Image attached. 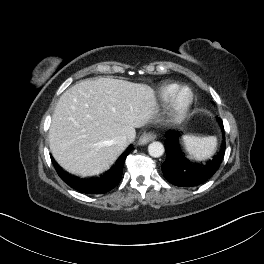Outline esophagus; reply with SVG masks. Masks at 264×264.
Returning <instances> with one entry per match:
<instances>
[{"instance_id":"esophagus-1","label":"esophagus","mask_w":264,"mask_h":264,"mask_svg":"<svg viewBox=\"0 0 264 264\" xmlns=\"http://www.w3.org/2000/svg\"><path fill=\"white\" fill-rule=\"evenodd\" d=\"M155 138H156V134H154L152 132L143 133L138 140V144L139 145H145V144L151 142L152 140H154Z\"/></svg>"}]
</instances>
